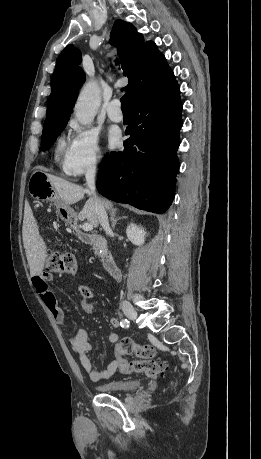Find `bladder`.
Instances as JSON below:
<instances>
[{
    "label": "bladder",
    "mask_w": 261,
    "mask_h": 459,
    "mask_svg": "<svg viewBox=\"0 0 261 459\" xmlns=\"http://www.w3.org/2000/svg\"><path fill=\"white\" fill-rule=\"evenodd\" d=\"M140 381L136 379H117L97 386V389L106 393H124L136 390Z\"/></svg>",
    "instance_id": "31cf9c89"
}]
</instances>
